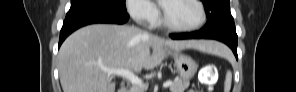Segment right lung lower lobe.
Here are the masks:
<instances>
[{"instance_id":"98d812e1","label":"right lung lower lobe","mask_w":296,"mask_h":92,"mask_svg":"<svg viewBox=\"0 0 296 92\" xmlns=\"http://www.w3.org/2000/svg\"><path fill=\"white\" fill-rule=\"evenodd\" d=\"M129 19L127 11L112 10L97 4L71 6L60 31L59 46L76 29L94 23L124 24Z\"/></svg>"}]
</instances>
